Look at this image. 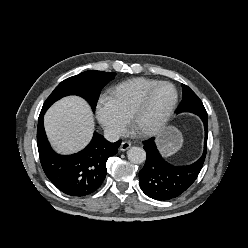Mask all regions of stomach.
<instances>
[{
    "label": "stomach",
    "instance_id": "1",
    "mask_svg": "<svg viewBox=\"0 0 248 248\" xmlns=\"http://www.w3.org/2000/svg\"><path fill=\"white\" fill-rule=\"evenodd\" d=\"M183 144V137L180 131L173 127L168 126L164 128L157 136V145L166 157L176 153Z\"/></svg>",
    "mask_w": 248,
    "mask_h": 248
}]
</instances>
